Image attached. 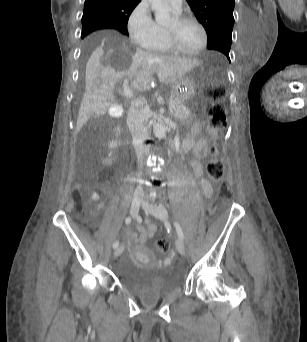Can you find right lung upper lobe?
I'll return each instance as SVG.
<instances>
[{
    "instance_id": "obj_1",
    "label": "right lung upper lobe",
    "mask_w": 307,
    "mask_h": 342,
    "mask_svg": "<svg viewBox=\"0 0 307 342\" xmlns=\"http://www.w3.org/2000/svg\"><path fill=\"white\" fill-rule=\"evenodd\" d=\"M141 0H85L84 13L95 12L105 17L107 28L127 31L128 18Z\"/></svg>"
}]
</instances>
